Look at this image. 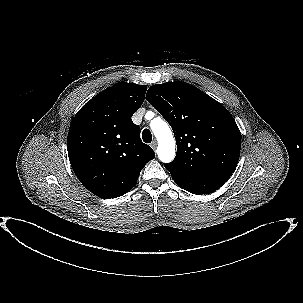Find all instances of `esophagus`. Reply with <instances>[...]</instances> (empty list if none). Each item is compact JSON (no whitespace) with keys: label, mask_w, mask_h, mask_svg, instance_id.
Masks as SVG:
<instances>
[{"label":"esophagus","mask_w":303,"mask_h":303,"mask_svg":"<svg viewBox=\"0 0 303 303\" xmlns=\"http://www.w3.org/2000/svg\"><path fill=\"white\" fill-rule=\"evenodd\" d=\"M151 147L153 150H155L157 148V141L154 140L152 143H151Z\"/></svg>","instance_id":"34e87169"}]
</instances>
